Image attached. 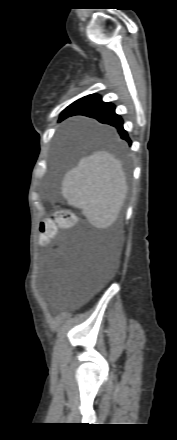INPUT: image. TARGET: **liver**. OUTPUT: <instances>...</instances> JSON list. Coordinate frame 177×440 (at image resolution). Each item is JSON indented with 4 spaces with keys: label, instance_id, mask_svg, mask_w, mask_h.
<instances>
[{
    "label": "liver",
    "instance_id": "liver-1",
    "mask_svg": "<svg viewBox=\"0 0 177 440\" xmlns=\"http://www.w3.org/2000/svg\"><path fill=\"white\" fill-rule=\"evenodd\" d=\"M62 194L96 228H109L124 205L128 186L122 163L105 150L83 157L62 181Z\"/></svg>",
    "mask_w": 177,
    "mask_h": 440
}]
</instances>
